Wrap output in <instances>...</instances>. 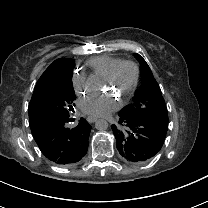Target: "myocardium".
<instances>
[{"label":"myocardium","instance_id":"myocardium-1","mask_svg":"<svg viewBox=\"0 0 208 208\" xmlns=\"http://www.w3.org/2000/svg\"><path fill=\"white\" fill-rule=\"evenodd\" d=\"M123 66H130L133 70V78L131 83L129 84L125 94L123 95L125 99L132 96L134 91L136 90L139 82H140V68L138 64L132 60H121L118 64L113 68V70L104 78H102L103 84H113L119 70ZM123 101L121 102V104Z\"/></svg>","mask_w":208,"mask_h":208}]
</instances>
